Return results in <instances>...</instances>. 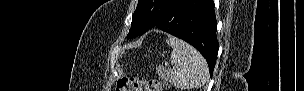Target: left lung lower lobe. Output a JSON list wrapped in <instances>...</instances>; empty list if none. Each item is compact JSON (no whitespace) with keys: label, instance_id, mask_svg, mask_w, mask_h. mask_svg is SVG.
Instances as JSON below:
<instances>
[{"label":"left lung lower lobe","instance_id":"1","mask_svg":"<svg viewBox=\"0 0 304 91\" xmlns=\"http://www.w3.org/2000/svg\"><path fill=\"white\" fill-rule=\"evenodd\" d=\"M153 27L160 28L194 46L205 57L212 76L219 49L212 0H173Z\"/></svg>","mask_w":304,"mask_h":91}]
</instances>
